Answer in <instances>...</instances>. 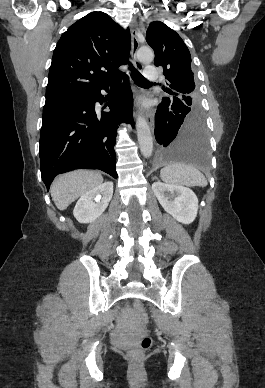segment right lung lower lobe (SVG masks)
I'll return each instance as SVG.
<instances>
[{"label":"right lung lower lobe","instance_id":"98d812e1","mask_svg":"<svg viewBox=\"0 0 265 388\" xmlns=\"http://www.w3.org/2000/svg\"><path fill=\"white\" fill-rule=\"evenodd\" d=\"M77 94L43 109L39 155L41 177L47 189L59 173L74 169H100L117 179L114 145L121 122H133V96L128 79L111 97L108 112L97 114L101 90Z\"/></svg>","mask_w":265,"mask_h":388}]
</instances>
